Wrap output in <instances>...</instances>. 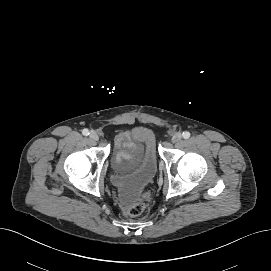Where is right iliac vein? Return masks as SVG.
I'll return each instance as SVG.
<instances>
[{
	"label": "right iliac vein",
	"instance_id": "63e3f726",
	"mask_svg": "<svg viewBox=\"0 0 271 271\" xmlns=\"http://www.w3.org/2000/svg\"><path fill=\"white\" fill-rule=\"evenodd\" d=\"M89 137L92 141H98L99 136L96 131H91Z\"/></svg>",
	"mask_w": 271,
	"mask_h": 271
}]
</instances>
